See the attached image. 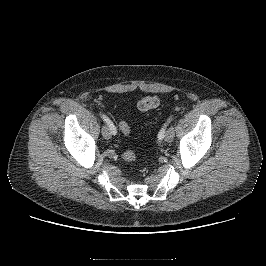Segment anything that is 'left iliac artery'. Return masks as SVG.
<instances>
[{"mask_svg": "<svg viewBox=\"0 0 266 266\" xmlns=\"http://www.w3.org/2000/svg\"><path fill=\"white\" fill-rule=\"evenodd\" d=\"M172 119V118H171ZM171 119L169 118L167 123L164 124L163 128L160 130L159 134H158V138L159 140L163 139L164 136H165V130H166V127L168 126V123H170Z\"/></svg>", "mask_w": 266, "mask_h": 266, "instance_id": "44dca946", "label": "left iliac artery"}]
</instances>
